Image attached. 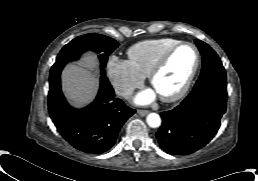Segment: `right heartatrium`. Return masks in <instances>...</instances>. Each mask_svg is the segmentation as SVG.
Instances as JSON below:
<instances>
[{"label": "right heart atrium", "mask_w": 258, "mask_h": 181, "mask_svg": "<svg viewBox=\"0 0 258 181\" xmlns=\"http://www.w3.org/2000/svg\"><path fill=\"white\" fill-rule=\"evenodd\" d=\"M107 75L116 93L128 97L140 87L144 77L127 60L111 57L107 62Z\"/></svg>", "instance_id": "obj_1"}]
</instances>
